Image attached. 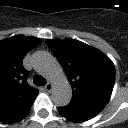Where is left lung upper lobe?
I'll return each instance as SVG.
<instances>
[{
  "label": "left lung upper lobe",
  "instance_id": "5c2ea615",
  "mask_svg": "<svg viewBox=\"0 0 128 128\" xmlns=\"http://www.w3.org/2000/svg\"><path fill=\"white\" fill-rule=\"evenodd\" d=\"M73 88L71 101L106 105L115 82V67L101 51L75 39L47 40Z\"/></svg>",
  "mask_w": 128,
  "mask_h": 128
}]
</instances>
